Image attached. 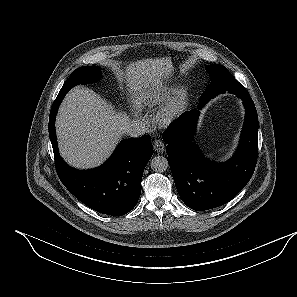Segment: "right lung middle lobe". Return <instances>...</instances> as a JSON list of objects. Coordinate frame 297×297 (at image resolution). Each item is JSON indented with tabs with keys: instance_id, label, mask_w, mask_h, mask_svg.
Segmentation results:
<instances>
[{
	"instance_id": "obj_1",
	"label": "right lung middle lobe",
	"mask_w": 297,
	"mask_h": 297,
	"mask_svg": "<svg viewBox=\"0 0 297 297\" xmlns=\"http://www.w3.org/2000/svg\"><path fill=\"white\" fill-rule=\"evenodd\" d=\"M102 78L101 70L96 66H83L74 70L62 86L60 93H67L80 83H91Z\"/></svg>"
}]
</instances>
